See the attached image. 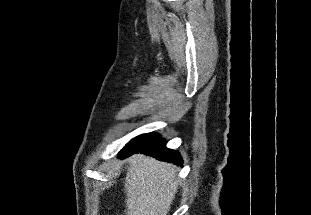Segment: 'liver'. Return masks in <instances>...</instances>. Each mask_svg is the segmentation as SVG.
I'll return each instance as SVG.
<instances>
[{
	"label": "liver",
	"mask_w": 311,
	"mask_h": 215,
	"mask_svg": "<svg viewBox=\"0 0 311 215\" xmlns=\"http://www.w3.org/2000/svg\"><path fill=\"white\" fill-rule=\"evenodd\" d=\"M129 164L125 214L167 215L179 183L176 166L140 154L132 156Z\"/></svg>",
	"instance_id": "1"
}]
</instances>
